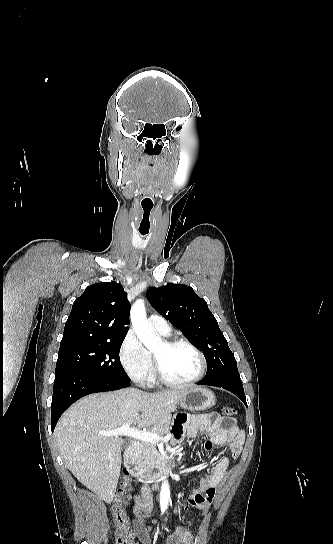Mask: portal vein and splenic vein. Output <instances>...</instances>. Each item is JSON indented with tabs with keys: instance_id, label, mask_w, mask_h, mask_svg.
<instances>
[{
	"instance_id": "portal-vein-and-splenic-vein-1",
	"label": "portal vein and splenic vein",
	"mask_w": 333,
	"mask_h": 544,
	"mask_svg": "<svg viewBox=\"0 0 333 544\" xmlns=\"http://www.w3.org/2000/svg\"><path fill=\"white\" fill-rule=\"evenodd\" d=\"M131 423H125L120 428L114 429L112 431H103L101 435L108 437H119L127 436L134 439H139L142 441H148L150 443H157L159 441H168L170 440V435L162 437L156 433L149 431H141L136 428H131Z\"/></svg>"
}]
</instances>
